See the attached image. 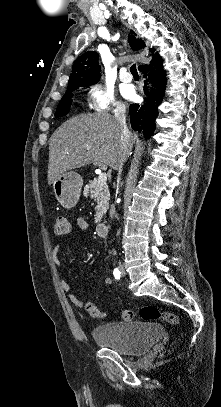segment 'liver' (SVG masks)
<instances>
[{
  "mask_svg": "<svg viewBox=\"0 0 221 407\" xmlns=\"http://www.w3.org/2000/svg\"><path fill=\"white\" fill-rule=\"evenodd\" d=\"M135 142L130 133L129 152ZM121 129L108 113L83 114L64 122L49 141L48 184L51 185L68 170L93 163L115 167L122 158ZM124 161V162H125Z\"/></svg>",
  "mask_w": 221,
  "mask_h": 407,
  "instance_id": "1",
  "label": "liver"
}]
</instances>
